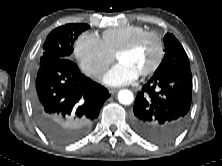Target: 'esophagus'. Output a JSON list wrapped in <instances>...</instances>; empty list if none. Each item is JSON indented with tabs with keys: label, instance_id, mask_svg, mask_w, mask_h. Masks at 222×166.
<instances>
[{
	"label": "esophagus",
	"instance_id": "esophagus-1",
	"mask_svg": "<svg viewBox=\"0 0 222 166\" xmlns=\"http://www.w3.org/2000/svg\"><path fill=\"white\" fill-rule=\"evenodd\" d=\"M118 91H119V89H116V88H110L109 89V93L112 94V95L117 93Z\"/></svg>",
	"mask_w": 222,
	"mask_h": 166
}]
</instances>
